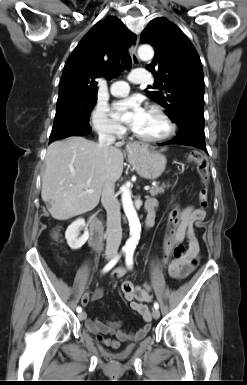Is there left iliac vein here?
Masks as SVG:
<instances>
[{
  "label": "left iliac vein",
  "mask_w": 247,
  "mask_h": 385,
  "mask_svg": "<svg viewBox=\"0 0 247 385\" xmlns=\"http://www.w3.org/2000/svg\"><path fill=\"white\" fill-rule=\"evenodd\" d=\"M152 316L154 319H158L160 317V312L158 309H153Z\"/></svg>",
  "instance_id": "4c4485c4"
}]
</instances>
